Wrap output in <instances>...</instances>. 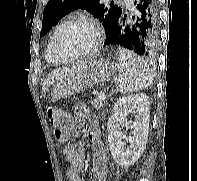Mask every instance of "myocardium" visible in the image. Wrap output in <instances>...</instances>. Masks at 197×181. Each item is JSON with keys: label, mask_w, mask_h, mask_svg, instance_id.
I'll list each match as a JSON object with an SVG mask.
<instances>
[{"label": "myocardium", "mask_w": 197, "mask_h": 181, "mask_svg": "<svg viewBox=\"0 0 197 181\" xmlns=\"http://www.w3.org/2000/svg\"><path fill=\"white\" fill-rule=\"evenodd\" d=\"M75 24H86L90 26L93 29L94 34H95V41L91 49H89L88 51L81 53L79 55L70 57V58H64L62 57L60 50H59V41L61 39V36L65 32V30ZM102 42H103V32H102L100 25L98 24L96 20L90 17H76V18H72L66 21L59 28L54 38L53 51L58 62L71 63V62H75L78 60H82V59H86V58L94 56L99 51L102 45Z\"/></svg>", "instance_id": "myocardium-1"}]
</instances>
